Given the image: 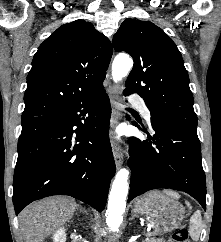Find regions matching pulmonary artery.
I'll list each match as a JSON object with an SVG mask.
<instances>
[{
	"mask_svg": "<svg viewBox=\"0 0 221 242\" xmlns=\"http://www.w3.org/2000/svg\"><path fill=\"white\" fill-rule=\"evenodd\" d=\"M132 103L137 106L143 113V116L147 119L150 120L151 114L147 106L144 104V102L141 99L138 98H133Z\"/></svg>",
	"mask_w": 221,
	"mask_h": 242,
	"instance_id": "pulmonary-artery-1",
	"label": "pulmonary artery"
}]
</instances>
